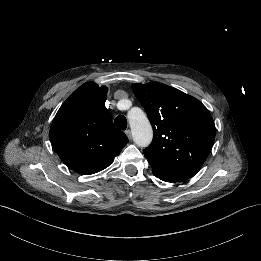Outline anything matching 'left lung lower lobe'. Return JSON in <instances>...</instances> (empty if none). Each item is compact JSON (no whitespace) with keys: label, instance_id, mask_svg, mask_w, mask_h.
I'll use <instances>...</instances> for the list:
<instances>
[{"label":"left lung lower lobe","instance_id":"obj_1","mask_svg":"<svg viewBox=\"0 0 261 261\" xmlns=\"http://www.w3.org/2000/svg\"><path fill=\"white\" fill-rule=\"evenodd\" d=\"M157 178H159V179H161V180H163V181H166V182H174V181H171V180H167V179H165V178H162V177H159V176H156Z\"/></svg>","mask_w":261,"mask_h":261}]
</instances>
